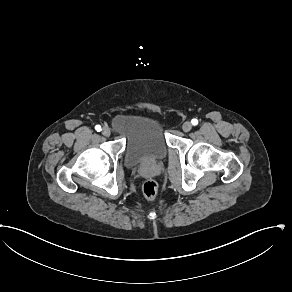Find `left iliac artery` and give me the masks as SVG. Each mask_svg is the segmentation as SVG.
<instances>
[{"label":"left iliac artery","instance_id":"1","mask_svg":"<svg viewBox=\"0 0 292 292\" xmlns=\"http://www.w3.org/2000/svg\"><path fill=\"white\" fill-rule=\"evenodd\" d=\"M191 123H192V125L195 126V125L198 124V120L194 118V119L191 120Z\"/></svg>","mask_w":292,"mask_h":292}]
</instances>
